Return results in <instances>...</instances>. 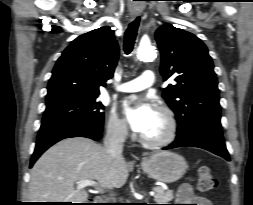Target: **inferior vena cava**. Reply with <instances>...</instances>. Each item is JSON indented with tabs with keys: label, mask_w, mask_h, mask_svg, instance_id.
<instances>
[{
	"label": "inferior vena cava",
	"mask_w": 253,
	"mask_h": 205,
	"mask_svg": "<svg viewBox=\"0 0 253 205\" xmlns=\"http://www.w3.org/2000/svg\"><path fill=\"white\" fill-rule=\"evenodd\" d=\"M127 135L125 124H116L107 129L104 138V151L109 158H115L122 155L123 143Z\"/></svg>",
	"instance_id": "602c4592"
}]
</instances>
